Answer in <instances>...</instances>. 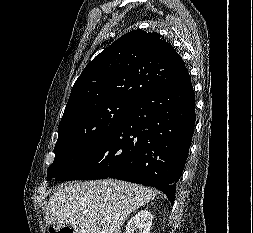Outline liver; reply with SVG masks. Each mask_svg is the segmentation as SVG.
I'll return each mask as SVG.
<instances>
[{
	"mask_svg": "<svg viewBox=\"0 0 253 233\" xmlns=\"http://www.w3.org/2000/svg\"><path fill=\"white\" fill-rule=\"evenodd\" d=\"M151 188L120 180L69 183L50 197L48 226H70L75 233H121L128 216L156 197Z\"/></svg>",
	"mask_w": 253,
	"mask_h": 233,
	"instance_id": "obj_1",
	"label": "liver"
}]
</instances>
